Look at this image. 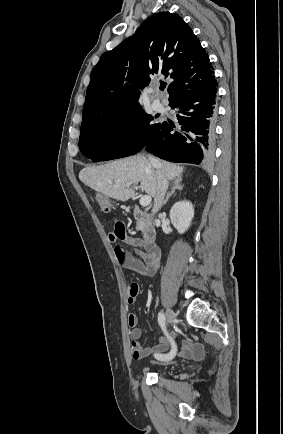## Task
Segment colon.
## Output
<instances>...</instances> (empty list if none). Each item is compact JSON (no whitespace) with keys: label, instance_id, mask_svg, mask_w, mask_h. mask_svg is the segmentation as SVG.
<instances>
[{"label":"colon","instance_id":"1","mask_svg":"<svg viewBox=\"0 0 283 434\" xmlns=\"http://www.w3.org/2000/svg\"><path fill=\"white\" fill-rule=\"evenodd\" d=\"M96 201L104 212H110L112 210V202L107 196L99 194L96 197Z\"/></svg>","mask_w":283,"mask_h":434}]
</instances>
